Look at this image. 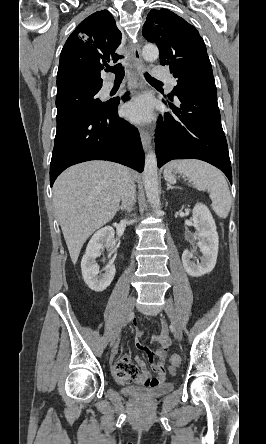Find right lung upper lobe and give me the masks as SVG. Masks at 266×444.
<instances>
[{
  "label": "right lung upper lobe",
  "instance_id": "obj_1",
  "mask_svg": "<svg viewBox=\"0 0 266 444\" xmlns=\"http://www.w3.org/2000/svg\"><path fill=\"white\" fill-rule=\"evenodd\" d=\"M121 39L122 34L109 11H97L84 19L61 51L56 98L73 92L100 90V71L108 62L122 58L115 53Z\"/></svg>",
  "mask_w": 266,
  "mask_h": 444
}]
</instances>
